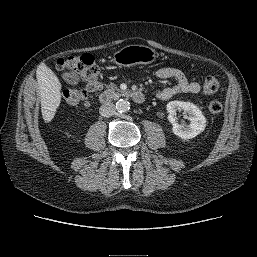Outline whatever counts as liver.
Here are the masks:
<instances>
[{
  "label": "liver",
  "mask_w": 257,
  "mask_h": 257,
  "mask_svg": "<svg viewBox=\"0 0 257 257\" xmlns=\"http://www.w3.org/2000/svg\"><path fill=\"white\" fill-rule=\"evenodd\" d=\"M37 82L42 116L45 122H50L61 103V83L55 73L44 64H41L37 70Z\"/></svg>",
  "instance_id": "6515ba94"
}]
</instances>
